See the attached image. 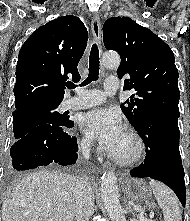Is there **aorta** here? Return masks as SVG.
Returning a JSON list of instances; mask_svg holds the SVG:
<instances>
[{
  "label": "aorta",
  "mask_w": 190,
  "mask_h": 221,
  "mask_svg": "<svg viewBox=\"0 0 190 221\" xmlns=\"http://www.w3.org/2000/svg\"><path fill=\"white\" fill-rule=\"evenodd\" d=\"M102 62L106 68H116L120 64V57L116 53H108L103 56ZM100 190L105 209L111 221H126L119 202L117 177L113 172L103 174Z\"/></svg>",
  "instance_id": "obj_1"
}]
</instances>
